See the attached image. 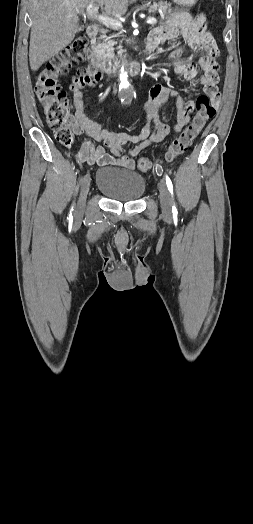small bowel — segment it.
<instances>
[{
  "label": "small bowel",
  "mask_w": 253,
  "mask_h": 524,
  "mask_svg": "<svg viewBox=\"0 0 253 524\" xmlns=\"http://www.w3.org/2000/svg\"><path fill=\"white\" fill-rule=\"evenodd\" d=\"M179 36L187 40L191 49L205 54L199 59L198 65L191 62H176L174 64L175 72L188 81L196 79L201 74L200 82L205 95L214 105H218L220 99L219 71L215 62L218 50L211 33L206 29L204 14L196 17L180 14L170 23L155 27L149 35V56H155L162 44ZM183 54H186V51L177 48L170 53L169 58L178 59ZM169 97L174 98L176 106L177 123L174 130L181 131L190 121V112L194 109V102L192 100L186 102L175 89L155 84L150 88L149 98L144 104L146 124L139 134L130 135L101 128L87 116L83 94L78 97L73 96L74 131L102 143L110 151L107 153L103 146H96L93 141L88 140L82 144L75 158L89 165H114L134 170V157L151 144L163 141L170 133L169 125L161 118V108ZM130 145L132 147L128 148Z\"/></svg>",
  "instance_id": "c3829d8e"
}]
</instances>
